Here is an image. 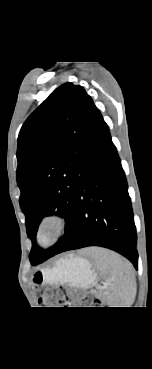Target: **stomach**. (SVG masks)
I'll return each instance as SVG.
<instances>
[{"label":"stomach","instance_id":"stomach-1","mask_svg":"<svg viewBox=\"0 0 152 369\" xmlns=\"http://www.w3.org/2000/svg\"><path fill=\"white\" fill-rule=\"evenodd\" d=\"M97 278V273L89 261L84 258L69 256L58 261L48 270L35 272L32 280L37 288L50 283L90 288L97 282Z\"/></svg>","mask_w":152,"mask_h":369}]
</instances>
